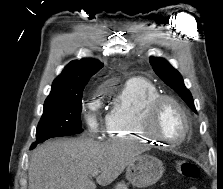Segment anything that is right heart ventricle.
<instances>
[{
	"label": "right heart ventricle",
	"mask_w": 223,
	"mask_h": 189,
	"mask_svg": "<svg viewBox=\"0 0 223 189\" xmlns=\"http://www.w3.org/2000/svg\"><path fill=\"white\" fill-rule=\"evenodd\" d=\"M158 95L157 88L145 79L127 81L113 99L106 115V137L132 142H156L142 133L140 117L147 103Z\"/></svg>",
	"instance_id": "right-heart-ventricle-1"
}]
</instances>
